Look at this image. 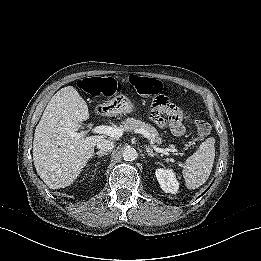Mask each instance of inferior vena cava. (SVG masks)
I'll use <instances>...</instances> for the list:
<instances>
[{
    "label": "inferior vena cava",
    "mask_w": 261,
    "mask_h": 261,
    "mask_svg": "<svg viewBox=\"0 0 261 261\" xmlns=\"http://www.w3.org/2000/svg\"><path fill=\"white\" fill-rule=\"evenodd\" d=\"M96 145L97 148L102 152H109L114 148V142L107 139L99 140Z\"/></svg>",
    "instance_id": "602c4592"
}]
</instances>
